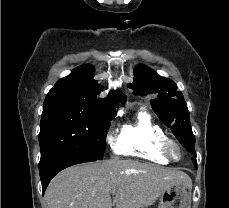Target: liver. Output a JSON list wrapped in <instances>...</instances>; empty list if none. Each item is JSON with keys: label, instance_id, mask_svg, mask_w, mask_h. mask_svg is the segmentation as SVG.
<instances>
[{"label": "liver", "instance_id": "obj_1", "mask_svg": "<svg viewBox=\"0 0 229 208\" xmlns=\"http://www.w3.org/2000/svg\"><path fill=\"white\" fill-rule=\"evenodd\" d=\"M173 184L192 188L179 168L115 158L63 170L51 180L45 198L48 208H112L110 194H115L117 208H147Z\"/></svg>", "mask_w": 229, "mask_h": 208}]
</instances>
